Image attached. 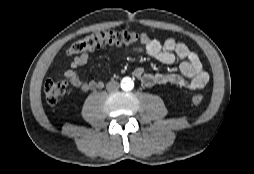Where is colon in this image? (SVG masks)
Returning <instances> with one entry per match:
<instances>
[{
	"label": "colon",
	"mask_w": 254,
	"mask_h": 174,
	"mask_svg": "<svg viewBox=\"0 0 254 174\" xmlns=\"http://www.w3.org/2000/svg\"><path fill=\"white\" fill-rule=\"evenodd\" d=\"M138 34L129 30H102L91 33L84 38L74 42L67 50L69 56H77L94 50L104 44H130L137 41ZM68 83L64 79H49L44 85V94L46 100L51 103H57L66 93ZM191 101L199 105L203 101V96L194 94Z\"/></svg>",
	"instance_id": "colon-1"
}]
</instances>
